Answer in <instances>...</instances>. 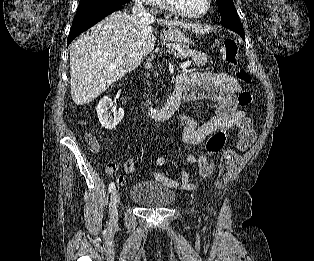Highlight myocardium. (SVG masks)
Here are the masks:
<instances>
[{
    "mask_svg": "<svg viewBox=\"0 0 314 261\" xmlns=\"http://www.w3.org/2000/svg\"><path fill=\"white\" fill-rule=\"evenodd\" d=\"M164 6L172 13L186 18H200L206 15L212 8L213 0H207L205 9L199 12H188L178 7L172 0H163Z\"/></svg>",
    "mask_w": 314,
    "mask_h": 261,
    "instance_id": "1",
    "label": "myocardium"
}]
</instances>
